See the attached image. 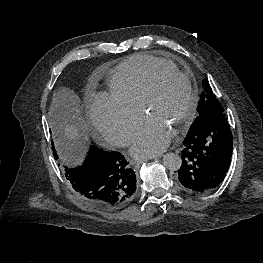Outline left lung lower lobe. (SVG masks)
<instances>
[{
  "mask_svg": "<svg viewBox=\"0 0 263 263\" xmlns=\"http://www.w3.org/2000/svg\"><path fill=\"white\" fill-rule=\"evenodd\" d=\"M180 183L190 191L207 193L225 178L233 149L230 124L224 113L210 117L182 146Z\"/></svg>",
  "mask_w": 263,
  "mask_h": 263,
  "instance_id": "0a47b994",
  "label": "left lung lower lobe"
}]
</instances>
